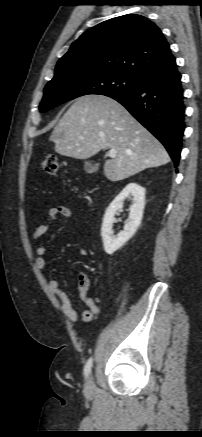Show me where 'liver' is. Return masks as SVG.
<instances>
[{
    "label": "liver",
    "mask_w": 202,
    "mask_h": 437,
    "mask_svg": "<svg viewBox=\"0 0 202 437\" xmlns=\"http://www.w3.org/2000/svg\"><path fill=\"white\" fill-rule=\"evenodd\" d=\"M50 140L61 155L88 159L114 149L104 174L120 181L170 161L163 145L117 101L103 95L77 98L55 126Z\"/></svg>",
    "instance_id": "6515ba94"
}]
</instances>
